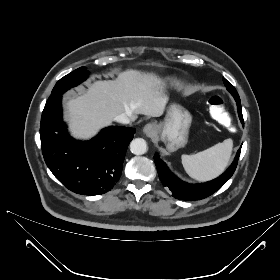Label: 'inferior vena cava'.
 <instances>
[{
  "instance_id": "inferior-vena-cava-1",
  "label": "inferior vena cava",
  "mask_w": 280,
  "mask_h": 280,
  "mask_svg": "<svg viewBox=\"0 0 280 280\" xmlns=\"http://www.w3.org/2000/svg\"><path fill=\"white\" fill-rule=\"evenodd\" d=\"M115 121L123 124H129L131 121V116L125 113L119 114L114 118Z\"/></svg>"
}]
</instances>
